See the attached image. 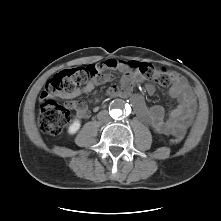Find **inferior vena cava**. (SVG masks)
<instances>
[{
    "label": "inferior vena cava",
    "instance_id": "1",
    "mask_svg": "<svg viewBox=\"0 0 221 221\" xmlns=\"http://www.w3.org/2000/svg\"><path fill=\"white\" fill-rule=\"evenodd\" d=\"M97 118L101 121V122H109L111 120L110 116L108 115V113L106 111H101L99 112Z\"/></svg>",
    "mask_w": 221,
    "mask_h": 221
}]
</instances>
